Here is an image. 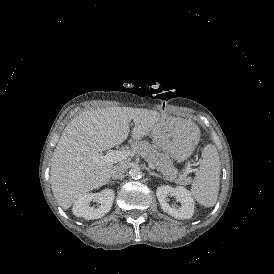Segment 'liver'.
<instances>
[{
  "instance_id": "liver-1",
  "label": "liver",
  "mask_w": 274,
  "mask_h": 274,
  "mask_svg": "<svg viewBox=\"0 0 274 274\" xmlns=\"http://www.w3.org/2000/svg\"><path fill=\"white\" fill-rule=\"evenodd\" d=\"M131 120L135 126L130 144L159 129L161 115L143 108H97L82 112L65 127L52 155L50 176L53 195L63 209L110 181L113 163L100 162L96 156L127 139Z\"/></svg>"
}]
</instances>
